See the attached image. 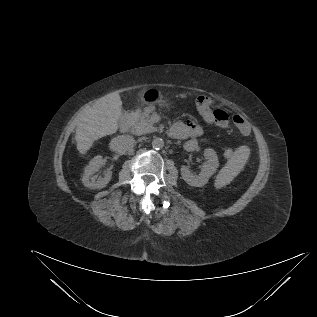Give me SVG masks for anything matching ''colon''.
<instances>
[{
	"label": "colon",
	"mask_w": 317,
	"mask_h": 317,
	"mask_svg": "<svg viewBox=\"0 0 317 317\" xmlns=\"http://www.w3.org/2000/svg\"><path fill=\"white\" fill-rule=\"evenodd\" d=\"M212 99L208 96H199L196 99V106L205 120L222 124L227 119V114L222 110H212Z\"/></svg>",
	"instance_id": "obj_1"
}]
</instances>
